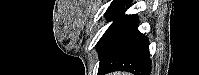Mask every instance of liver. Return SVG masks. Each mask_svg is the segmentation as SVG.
<instances>
[{"instance_id":"liver-1","label":"liver","mask_w":199,"mask_h":75,"mask_svg":"<svg viewBox=\"0 0 199 75\" xmlns=\"http://www.w3.org/2000/svg\"><path fill=\"white\" fill-rule=\"evenodd\" d=\"M112 75H129V73L116 72V73H113Z\"/></svg>"}]
</instances>
